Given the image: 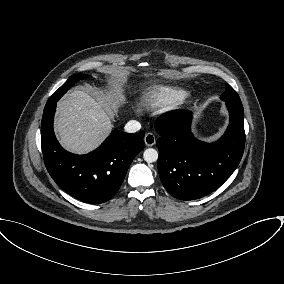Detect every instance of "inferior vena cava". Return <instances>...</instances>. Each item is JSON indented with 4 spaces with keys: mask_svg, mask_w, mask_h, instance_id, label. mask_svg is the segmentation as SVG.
<instances>
[{
    "mask_svg": "<svg viewBox=\"0 0 284 284\" xmlns=\"http://www.w3.org/2000/svg\"><path fill=\"white\" fill-rule=\"evenodd\" d=\"M124 129L127 133H135L141 129V124L136 120H130Z\"/></svg>",
    "mask_w": 284,
    "mask_h": 284,
    "instance_id": "1",
    "label": "inferior vena cava"
}]
</instances>
